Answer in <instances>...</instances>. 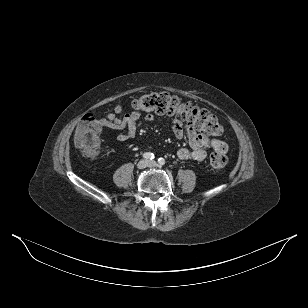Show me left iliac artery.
Wrapping results in <instances>:
<instances>
[{
	"mask_svg": "<svg viewBox=\"0 0 308 308\" xmlns=\"http://www.w3.org/2000/svg\"><path fill=\"white\" fill-rule=\"evenodd\" d=\"M158 163L160 166L164 165L165 164V159L164 158H159L158 159Z\"/></svg>",
	"mask_w": 308,
	"mask_h": 308,
	"instance_id": "44dca946",
	"label": "left iliac artery"
}]
</instances>
